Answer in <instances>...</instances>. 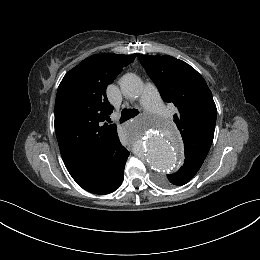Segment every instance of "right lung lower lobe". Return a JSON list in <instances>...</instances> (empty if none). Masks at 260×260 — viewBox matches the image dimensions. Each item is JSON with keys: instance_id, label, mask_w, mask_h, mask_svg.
Wrapping results in <instances>:
<instances>
[{"instance_id": "obj_1", "label": "right lung lower lobe", "mask_w": 260, "mask_h": 260, "mask_svg": "<svg viewBox=\"0 0 260 260\" xmlns=\"http://www.w3.org/2000/svg\"><path fill=\"white\" fill-rule=\"evenodd\" d=\"M128 156L129 152L122 148L114 156L98 162L85 173L75 177L74 180L86 191L95 194H109L121 185Z\"/></svg>"}]
</instances>
